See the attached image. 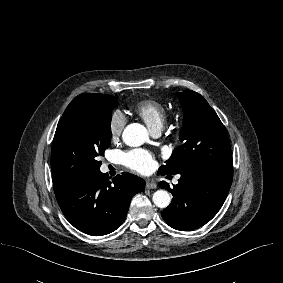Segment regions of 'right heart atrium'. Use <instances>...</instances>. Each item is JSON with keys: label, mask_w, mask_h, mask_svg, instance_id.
I'll use <instances>...</instances> for the list:
<instances>
[{"label": "right heart atrium", "mask_w": 283, "mask_h": 283, "mask_svg": "<svg viewBox=\"0 0 283 283\" xmlns=\"http://www.w3.org/2000/svg\"><path fill=\"white\" fill-rule=\"evenodd\" d=\"M127 119L120 111H114L109 121V132L113 140L118 139L126 125Z\"/></svg>", "instance_id": "1"}]
</instances>
